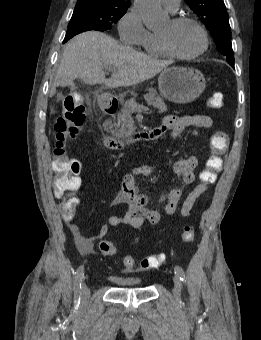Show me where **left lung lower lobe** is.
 I'll return each instance as SVG.
<instances>
[{
    "instance_id": "left-lung-lower-lobe-1",
    "label": "left lung lower lobe",
    "mask_w": 261,
    "mask_h": 340,
    "mask_svg": "<svg viewBox=\"0 0 261 340\" xmlns=\"http://www.w3.org/2000/svg\"><path fill=\"white\" fill-rule=\"evenodd\" d=\"M229 64L234 68V63L231 62V63H229Z\"/></svg>"
}]
</instances>
